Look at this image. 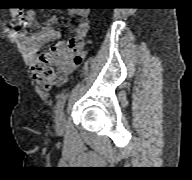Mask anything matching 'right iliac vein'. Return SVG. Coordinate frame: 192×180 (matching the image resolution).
I'll use <instances>...</instances> for the list:
<instances>
[{
    "instance_id": "right-iliac-vein-1",
    "label": "right iliac vein",
    "mask_w": 192,
    "mask_h": 180,
    "mask_svg": "<svg viewBox=\"0 0 192 180\" xmlns=\"http://www.w3.org/2000/svg\"><path fill=\"white\" fill-rule=\"evenodd\" d=\"M56 129L58 132L63 131L64 129V112L61 111L56 118Z\"/></svg>"
}]
</instances>
